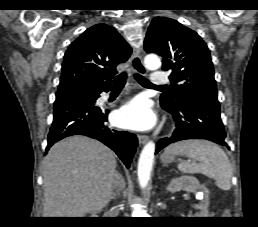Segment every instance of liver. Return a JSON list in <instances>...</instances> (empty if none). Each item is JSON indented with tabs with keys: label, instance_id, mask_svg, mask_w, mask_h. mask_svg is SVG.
<instances>
[{
	"label": "liver",
	"instance_id": "6515ba94",
	"mask_svg": "<svg viewBox=\"0 0 258 227\" xmlns=\"http://www.w3.org/2000/svg\"><path fill=\"white\" fill-rule=\"evenodd\" d=\"M116 166L112 150L86 136L54 144L43 161L44 217H83L105 208Z\"/></svg>",
	"mask_w": 258,
	"mask_h": 227
}]
</instances>
